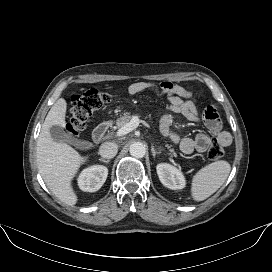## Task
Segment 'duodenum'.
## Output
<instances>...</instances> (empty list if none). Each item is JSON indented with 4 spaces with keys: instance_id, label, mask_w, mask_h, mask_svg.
I'll list each match as a JSON object with an SVG mask.
<instances>
[{
    "instance_id": "duodenum-1",
    "label": "duodenum",
    "mask_w": 272,
    "mask_h": 272,
    "mask_svg": "<svg viewBox=\"0 0 272 272\" xmlns=\"http://www.w3.org/2000/svg\"><path fill=\"white\" fill-rule=\"evenodd\" d=\"M109 126V123H101L94 129L93 140L96 143H100L101 141H103L108 132Z\"/></svg>"
}]
</instances>
